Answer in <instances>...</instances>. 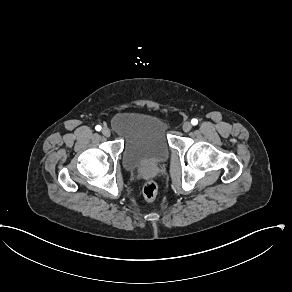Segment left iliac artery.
<instances>
[{"mask_svg": "<svg viewBox=\"0 0 292 292\" xmlns=\"http://www.w3.org/2000/svg\"><path fill=\"white\" fill-rule=\"evenodd\" d=\"M192 125H197L198 124V120L196 118H193L191 120Z\"/></svg>", "mask_w": 292, "mask_h": 292, "instance_id": "obj_1", "label": "left iliac artery"}]
</instances>
